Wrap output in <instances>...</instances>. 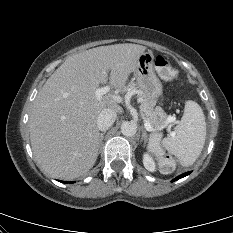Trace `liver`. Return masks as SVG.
Masks as SVG:
<instances>
[{
  "instance_id": "liver-1",
  "label": "liver",
  "mask_w": 233,
  "mask_h": 233,
  "mask_svg": "<svg viewBox=\"0 0 233 233\" xmlns=\"http://www.w3.org/2000/svg\"><path fill=\"white\" fill-rule=\"evenodd\" d=\"M145 46L125 43L100 46L68 57L39 91L29 120L33 154L54 178L72 180L95 164L100 146L97 118L102 110L122 108L110 95L98 100L100 84L117 90L138 65Z\"/></svg>"
}]
</instances>
